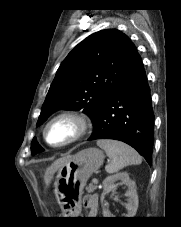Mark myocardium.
Listing matches in <instances>:
<instances>
[{"label": "myocardium", "mask_w": 181, "mask_h": 227, "mask_svg": "<svg viewBox=\"0 0 181 227\" xmlns=\"http://www.w3.org/2000/svg\"><path fill=\"white\" fill-rule=\"evenodd\" d=\"M59 120H68L75 126V132L66 141L60 144H51L47 139L48 128ZM90 120L85 113L76 110H64L51 117L43 127L42 137L44 142L53 148H62L84 138L90 130Z\"/></svg>", "instance_id": "obj_1"}]
</instances>
